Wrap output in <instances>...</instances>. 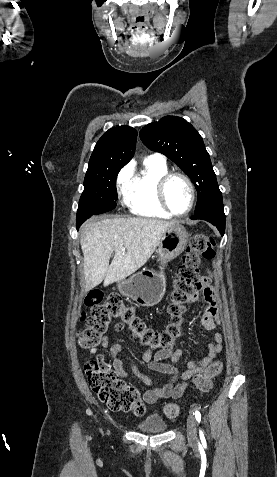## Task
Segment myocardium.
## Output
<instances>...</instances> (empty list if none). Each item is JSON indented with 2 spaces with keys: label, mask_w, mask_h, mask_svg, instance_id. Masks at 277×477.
Wrapping results in <instances>:
<instances>
[{
  "label": "myocardium",
  "mask_w": 277,
  "mask_h": 477,
  "mask_svg": "<svg viewBox=\"0 0 277 477\" xmlns=\"http://www.w3.org/2000/svg\"><path fill=\"white\" fill-rule=\"evenodd\" d=\"M174 177L182 178L187 183V185L189 187V190H190L189 206L184 212H181V213H178V212H175L174 210H172V208L170 207V205L168 203L167 196H166L167 185H168L169 181ZM156 193H157V198H158V201H159L161 207L168 214H170L171 216H174V217H184V216L188 215L192 211V209L195 205L196 190H195L194 183L187 174H185L183 172H180V171H171V172L168 171L167 173L162 175L157 182Z\"/></svg>",
  "instance_id": "f54148a6"
}]
</instances>
